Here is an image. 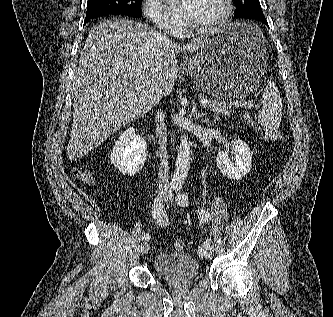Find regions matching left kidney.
Segmentation results:
<instances>
[{
    "label": "left kidney",
    "mask_w": 333,
    "mask_h": 317,
    "mask_svg": "<svg viewBox=\"0 0 333 317\" xmlns=\"http://www.w3.org/2000/svg\"><path fill=\"white\" fill-rule=\"evenodd\" d=\"M228 153L229 150L218 153L217 166L224 176L239 180L250 172L252 152L245 142L235 137L231 142V154L235 155L234 160H230Z\"/></svg>",
    "instance_id": "1"
}]
</instances>
